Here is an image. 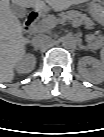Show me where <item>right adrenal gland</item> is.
<instances>
[{
    "label": "right adrenal gland",
    "mask_w": 104,
    "mask_h": 137,
    "mask_svg": "<svg viewBox=\"0 0 104 137\" xmlns=\"http://www.w3.org/2000/svg\"><path fill=\"white\" fill-rule=\"evenodd\" d=\"M34 51H36V52H37V49L35 48V49H34Z\"/></svg>",
    "instance_id": "1"
}]
</instances>
